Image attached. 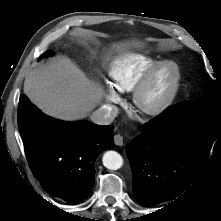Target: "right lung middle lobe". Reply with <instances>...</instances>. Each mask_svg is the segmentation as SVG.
Wrapping results in <instances>:
<instances>
[{
  "label": "right lung middle lobe",
  "instance_id": "1",
  "mask_svg": "<svg viewBox=\"0 0 221 221\" xmlns=\"http://www.w3.org/2000/svg\"><path fill=\"white\" fill-rule=\"evenodd\" d=\"M52 54H53L52 51H47V52L43 53V54L40 56V59L43 58V57H45V56H47V55H52Z\"/></svg>",
  "mask_w": 221,
  "mask_h": 221
}]
</instances>
